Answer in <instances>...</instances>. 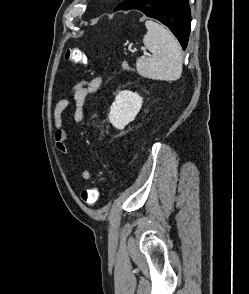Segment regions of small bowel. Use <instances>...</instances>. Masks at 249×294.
Masks as SVG:
<instances>
[{"label":"small bowel","instance_id":"small-bowel-1","mask_svg":"<svg viewBox=\"0 0 249 294\" xmlns=\"http://www.w3.org/2000/svg\"><path fill=\"white\" fill-rule=\"evenodd\" d=\"M101 85V78L99 76L92 77L87 80L77 82L71 89L70 99L59 100L54 108V140L56 149L64 154H69V148L66 141L69 138V133L62 127V115L71 104H74L73 118L75 123L80 124L84 119V109L87 97L98 91ZM73 173L77 174V168L72 167ZM81 177L84 180H91L92 173L89 169L81 172Z\"/></svg>","mask_w":249,"mask_h":294}]
</instances>
